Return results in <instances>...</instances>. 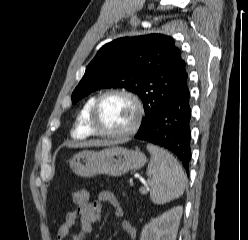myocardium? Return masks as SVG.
<instances>
[{
  "mask_svg": "<svg viewBox=\"0 0 248 240\" xmlns=\"http://www.w3.org/2000/svg\"><path fill=\"white\" fill-rule=\"evenodd\" d=\"M110 96H123L127 98L134 106L135 118L129 128L120 132H104L98 128V113L103 101ZM145 114L141 99L133 92L126 89H112L102 93L95 101L90 114V127L93 134L105 138H123L135 134L143 121Z\"/></svg>",
  "mask_w": 248,
  "mask_h": 240,
  "instance_id": "myocardium-1",
  "label": "myocardium"
}]
</instances>
